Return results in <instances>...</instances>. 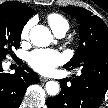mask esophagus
I'll return each instance as SVG.
<instances>
[{
    "label": "esophagus",
    "instance_id": "esophagus-1",
    "mask_svg": "<svg viewBox=\"0 0 108 108\" xmlns=\"http://www.w3.org/2000/svg\"><path fill=\"white\" fill-rule=\"evenodd\" d=\"M48 80H49V78L42 77V76L40 77V81H41V82H46V81H48Z\"/></svg>",
    "mask_w": 108,
    "mask_h": 108
}]
</instances>
